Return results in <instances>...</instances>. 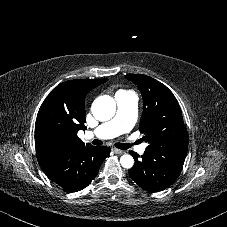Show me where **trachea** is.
<instances>
[{
  "mask_svg": "<svg viewBox=\"0 0 227 227\" xmlns=\"http://www.w3.org/2000/svg\"><path fill=\"white\" fill-rule=\"evenodd\" d=\"M94 145H101L102 142L100 140H93L92 142ZM132 144H123V143H116L115 146L119 149L125 150L131 147Z\"/></svg>",
  "mask_w": 227,
  "mask_h": 227,
  "instance_id": "3493384b",
  "label": "trachea"
}]
</instances>
